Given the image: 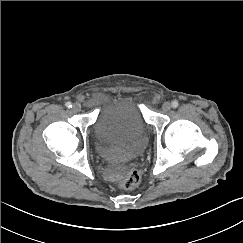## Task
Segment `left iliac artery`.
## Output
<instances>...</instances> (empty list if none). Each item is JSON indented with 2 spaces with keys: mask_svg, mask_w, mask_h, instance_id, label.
<instances>
[{
  "mask_svg": "<svg viewBox=\"0 0 243 243\" xmlns=\"http://www.w3.org/2000/svg\"><path fill=\"white\" fill-rule=\"evenodd\" d=\"M171 105L173 108H177L179 104H178V101L174 100V101H172Z\"/></svg>",
  "mask_w": 243,
  "mask_h": 243,
  "instance_id": "44dca946",
  "label": "left iliac artery"
}]
</instances>
